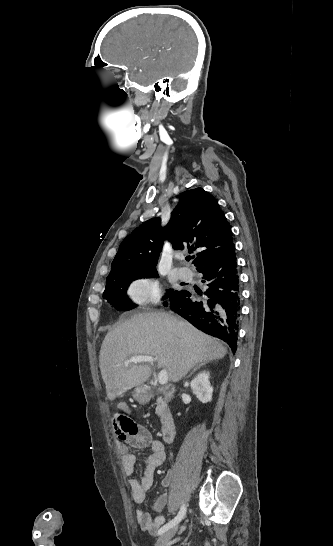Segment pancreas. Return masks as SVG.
<instances>
[{
    "label": "pancreas",
    "instance_id": "pancreas-1",
    "mask_svg": "<svg viewBox=\"0 0 333 546\" xmlns=\"http://www.w3.org/2000/svg\"><path fill=\"white\" fill-rule=\"evenodd\" d=\"M162 403H163V399H162V397H159V398L157 399V405H158V406H157V408H156V414H160V413H161L160 404H162Z\"/></svg>",
    "mask_w": 333,
    "mask_h": 546
}]
</instances>
